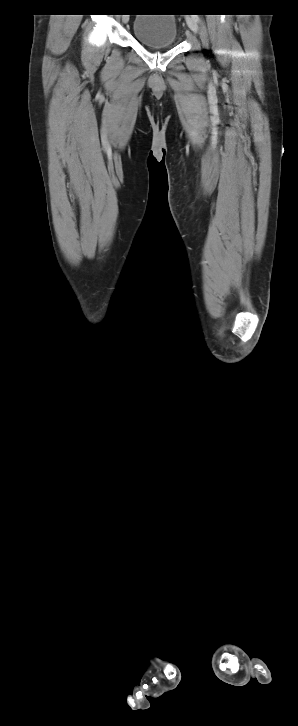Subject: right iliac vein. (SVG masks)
<instances>
[{
	"label": "right iliac vein",
	"instance_id": "63e3f726",
	"mask_svg": "<svg viewBox=\"0 0 298 726\" xmlns=\"http://www.w3.org/2000/svg\"><path fill=\"white\" fill-rule=\"evenodd\" d=\"M122 20H123L124 23H127L128 20H129V18H128V16L125 15Z\"/></svg>",
	"mask_w": 298,
	"mask_h": 726
}]
</instances>
